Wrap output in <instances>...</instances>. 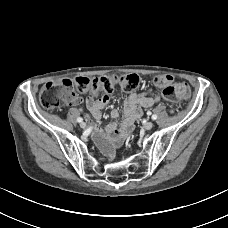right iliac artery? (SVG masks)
Returning <instances> with one entry per match:
<instances>
[{"mask_svg": "<svg viewBox=\"0 0 228 228\" xmlns=\"http://www.w3.org/2000/svg\"><path fill=\"white\" fill-rule=\"evenodd\" d=\"M83 121V119L82 118H77V122H82Z\"/></svg>", "mask_w": 228, "mask_h": 228, "instance_id": "82829eb1", "label": "right iliac artery"}]
</instances>
